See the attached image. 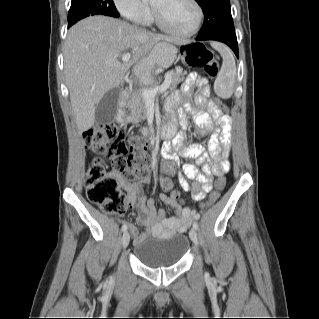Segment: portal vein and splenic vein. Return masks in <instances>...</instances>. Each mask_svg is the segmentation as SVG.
<instances>
[{"label": "portal vein and splenic vein", "instance_id": "obj_1", "mask_svg": "<svg viewBox=\"0 0 319 319\" xmlns=\"http://www.w3.org/2000/svg\"><path fill=\"white\" fill-rule=\"evenodd\" d=\"M131 58V55L130 53H124L122 54V61L123 62H128ZM170 73L168 72L166 75H165V81L162 85L154 88V89H149V88H146V89H143L142 90V95L145 99H152L154 98L157 93H162V92H165L168 88H169V85H170Z\"/></svg>", "mask_w": 319, "mask_h": 319}]
</instances>
